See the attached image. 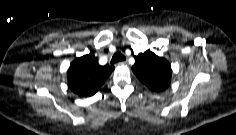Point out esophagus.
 <instances>
[{"instance_id": "esophagus-1", "label": "esophagus", "mask_w": 236, "mask_h": 135, "mask_svg": "<svg viewBox=\"0 0 236 135\" xmlns=\"http://www.w3.org/2000/svg\"><path fill=\"white\" fill-rule=\"evenodd\" d=\"M124 64H127V60H124L118 63V65H124Z\"/></svg>"}]
</instances>
